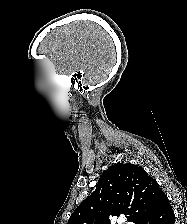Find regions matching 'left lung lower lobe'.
<instances>
[{
	"label": "left lung lower lobe",
	"mask_w": 187,
	"mask_h": 224,
	"mask_svg": "<svg viewBox=\"0 0 187 224\" xmlns=\"http://www.w3.org/2000/svg\"><path fill=\"white\" fill-rule=\"evenodd\" d=\"M142 224H175V215L170 202L161 190L148 217Z\"/></svg>",
	"instance_id": "left-lung-lower-lobe-1"
}]
</instances>
